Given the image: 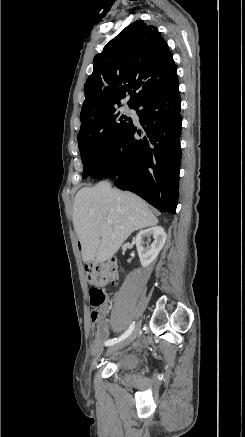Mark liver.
<instances>
[{
	"label": "liver",
	"mask_w": 245,
	"mask_h": 437,
	"mask_svg": "<svg viewBox=\"0 0 245 437\" xmlns=\"http://www.w3.org/2000/svg\"><path fill=\"white\" fill-rule=\"evenodd\" d=\"M107 218L112 220L111 224ZM157 223L144 200L114 189L106 181L84 187L75 196L73 225L84 262L110 259L132 232Z\"/></svg>",
	"instance_id": "liver-1"
}]
</instances>
